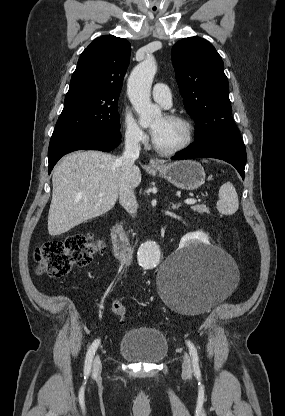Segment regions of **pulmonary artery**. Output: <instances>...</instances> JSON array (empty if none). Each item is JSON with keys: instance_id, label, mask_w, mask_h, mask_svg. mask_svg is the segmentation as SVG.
<instances>
[{"instance_id": "pulmonary-artery-1", "label": "pulmonary artery", "mask_w": 285, "mask_h": 416, "mask_svg": "<svg viewBox=\"0 0 285 416\" xmlns=\"http://www.w3.org/2000/svg\"><path fill=\"white\" fill-rule=\"evenodd\" d=\"M153 96L165 105L172 100L171 88L166 87V84L157 83L153 88Z\"/></svg>"}]
</instances>
